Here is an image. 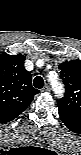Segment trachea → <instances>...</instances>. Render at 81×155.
Returning <instances> with one entry per match:
<instances>
[{
    "label": "trachea",
    "instance_id": "1",
    "mask_svg": "<svg viewBox=\"0 0 81 155\" xmlns=\"http://www.w3.org/2000/svg\"><path fill=\"white\" fill-rule=\"evenodd\" d=\"M33 85H34V87L41 89L44 86L43 78L41 76L35 77L34 81H33Z\"/></svg>",
    "mask_w": 81,
    "mask_h": 155
}]
</instances>
